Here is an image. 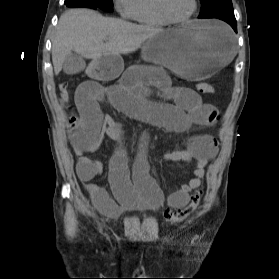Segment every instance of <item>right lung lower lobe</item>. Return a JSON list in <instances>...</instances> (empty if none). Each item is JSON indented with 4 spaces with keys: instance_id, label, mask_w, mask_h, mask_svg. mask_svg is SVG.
<instances>
[{
    "instance_id": "obj_1",
    "label": "right lung lower lobe",
    "mask_w": 279,
    "mask_h": 279,
    "mask_svg": "<svg viewBox=\"0 0 279 279\" xmlns=\"http://www.w3.org/2000/svg\"><path fill=\"white\" fill-rule=\"evenodd\" d=\"M65 5L67 7L76 8V7H87L96 9L97 6L90 3L87 0H65Z\"/></svg>"
}]
</instances>
